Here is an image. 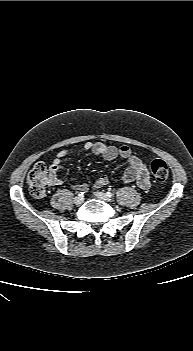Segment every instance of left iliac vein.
Listing matches in <instances>:
<instances>
[{
    "label": "left iliac vein",
    "mask_w": 193,
    "mask_h": 351,
    "mask_svg": "<svg viewBox=\"0 0 193 351\" xmlns=\"http://www.w3.org/2000/svg\"><path fill=\"white\" fill-rule=\"evenodd\" d=\"M95 196L98 199L106 201V202H111L112 201V198L110 196H108L107 193H104V192H101V191L95 192Z\"/></svg>",
    "instance_id": "4c4485c4"
}]
</instances>
